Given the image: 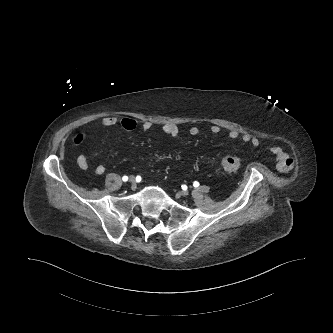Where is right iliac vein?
I'll use <instances>...</instances> for the list:
<instances>
[{
    "label": "right iliac vein",
    "instance_id": "1",
    "mask_svg": "<svg viewBox=\"0 0 333 333\" xmlns=\"http://www.w3.org/2000/svg\"><path fill=\"white\" fill-rule=\"evenodd\" d=\"M129 182H130L132 185H135V184H136L135 177H134V176H130V177H129Z\"/></svg>",
    "mask_w": 333,
    "mask_h": 333
}]
</instances>
